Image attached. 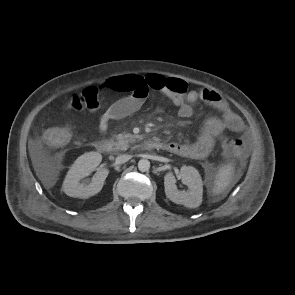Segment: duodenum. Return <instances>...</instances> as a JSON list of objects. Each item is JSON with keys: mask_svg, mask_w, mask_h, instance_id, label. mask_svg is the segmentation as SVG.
I'll use <instances>...</instances> for the list:
<instances>
[{"mask_svg": "<svg viewBox=\"0 0 295 295\" xmlns=\"http://www.w3.org/2000/svg\"><path fill=\"white\" fill-rule=\"evenodd\" d=\"M147 150L163 149V143L156 139H147L143 144ZM96 149L103 154H109L113 151V143L107 140H99L95 143Z\"/></svg>", "mask_w": 295, "mask_h": 295, "instance_id": "obj_1", "label": "duodenum"}]
</instances>
